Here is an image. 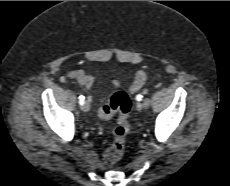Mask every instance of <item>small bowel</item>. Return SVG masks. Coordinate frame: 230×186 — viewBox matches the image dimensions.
I'll return each instance as SVG.
<instances>
[{"label":"small bowel","mask_w":230,"mask_h":186,"mask_svg":"<svg viewBox=\"0 0 230 186\" xmlns=\"http://www.w3.org/2000/svg\"><path fill=\"white\" fill-rule=\"evenodd\" d=\"M67 76L68 78L70 79H75L77 80V82L79 84H81L82 86H84L85 90H89L94 81H95V75L93 73H86L84 70L82 69H72V70H69L67 72ZM114 84L116 87H120V83L119 81H114ZM136 92V91H135Z\"/></svg>","instance_id":"c3829d8e"}]
</instances>
